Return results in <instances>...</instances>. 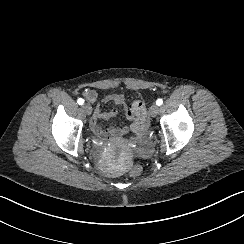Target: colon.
Segmentation results:
<instances>
[{
	"instance_id": "5ec220e1",
	"label": "colon",
	"mask_w": 244,
	"mask_h": 244,
	"mask_svg": "<svg viewBox=\"0 0 244 244\" xmlns=\"http://www.w3.org/2000/svg\"><path fill=\"white\" fill-rule=\"evenodd\" d=\"M131 111L136 118V121L133 126V131L137 134H142L146 131L147 124V111L145 104L142 100H136L131 105ZM141 174V168L138 165H133L128 170V175L131 178H136Z\"/></svg>"
}]
</instances>
